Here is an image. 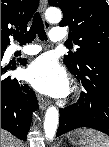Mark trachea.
Listing matches in <instances>:
<instances>
[{"label":"trachea","instance_id":"obj_1","mask_svg":"<svg viewBox=\"0 0 109 147\" xmlns=\"http://www.w3.org/2000/svg\"><path fill=\"white\" fill-rule=\"evenodd\" d=\"M36 34L38 35L40 40H47V36L44 31V25L38 12L34 14L30 30L25 34H15L14 38L17 39L20 45H25L26 43H31L36 37Z\"/></svg>","mask_w":109,"mask_h":147}]
</instances>
